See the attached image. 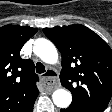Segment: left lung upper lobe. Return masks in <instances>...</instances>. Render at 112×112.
<instances>
[{
	"mask_svg": "<svg viewBox=\"0 0 112 112\" xmlns=\"http://www.w3.org/2000/svg\"><path fill=\"white\" fill-rule=\"evenodd\" d=\"M62 56L60 81L73 105L105 109L112 96V50L89 28L74 24L44 28Z\"/></svg>",
	"mask_w": 112,
	"mask_h": 112,
	"instance_id": "obj_1",
	"label": "left lung upper lobe"
}]
</instances>
